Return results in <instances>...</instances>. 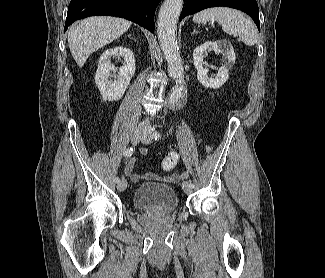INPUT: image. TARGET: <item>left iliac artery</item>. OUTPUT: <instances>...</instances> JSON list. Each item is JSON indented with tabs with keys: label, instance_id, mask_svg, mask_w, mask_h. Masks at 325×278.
I'll return each instance as SVG.
<instances>
[{
	"label": "left iliac artery",
	"instance_id": "1",
	"mask_svg": "<svg viewBox=\"0 0 325 278\" xmlns=\"http://www.w3.org/2000/svg\"><path fill=\"white\" fill-rule=\"evenodd\" d=\"M153 137L155 140H159L161 138L160 133L156 130L153 131ZM190 187L194 188V184L190 181L189 182Z\"/></svg>",
	"mask_w": 325,
	"mask_h": 278
}]
</instances>
